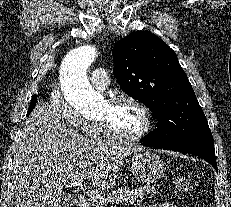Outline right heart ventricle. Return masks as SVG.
Returning <instances> with one entry per match:
<instances>
[{
	"instance_id": "e07e8e85",
	"label": "right heart ventricle",
	"mask_w": 231,
	"mask_h": 207,
	"mask_svg": "<svg viewBox=\"0 0 231 207\" xmlns=\"http://www.w3.org/2000/svg\"><path fill=\"white\" fill-rule=\"evenodd\" d=\"M90 133L88 134L91 137H98L102 134V130L97 121H91L89 125Z\"/></svg>"
}]
</instances>
